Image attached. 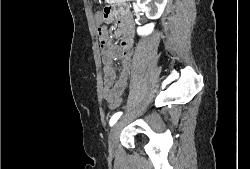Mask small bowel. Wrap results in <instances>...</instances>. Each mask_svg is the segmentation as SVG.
I'll return each instance as SVG.
<instances>
[{"label": "small bowel", "mask_w": 250, "mask_h": 169, "mask_svg": "<svg viewBox=\"0 0 250 169\" xmlns=\"http://www.w3.org/2000/svg\"><path fill=\"white\" fill-rule=\"evenodd\" d=\"M117 14L122 19V27L124 29V36L120 46L110 44L105 30H101L100 45L104 78L103 96L106 100L107 91H121L123 94L132 66L133 40L130 26L126 22H123L125 15L122 11H117ZM115 59H120L122 63L121 70L118 75L116 74V70L113 65Z\"/></svg>", "instance_id": "c3829d8e"}]
</instances>
